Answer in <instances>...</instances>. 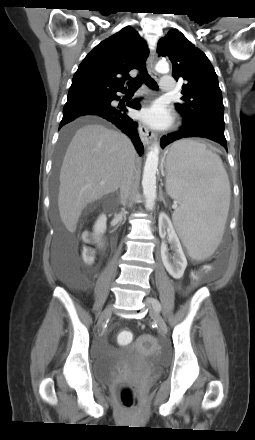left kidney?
Instances as JSON below:
<instances>
[{"label":"left kidney","instance_id":"5707ae66","mask_svg":"<svg viewBox=\"0 0 255 440\" xmlns=\"http://www.w3.org/2000/svg\"><path fill=\"white\" fill-rule=\"evenodd\" d=\"M159 229L160 231L166 230L168 234V241L171 244L175 254L170 257L165 243L161 244V258L162 262L168 271V273L175 279H180L187 267V259L184 255L179 238L173 228L171 220L165 213H161L159 216Z\"/></svg>","mask_w":255,"mask_h":440}]
</instances>
